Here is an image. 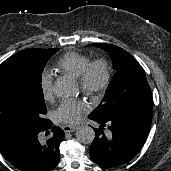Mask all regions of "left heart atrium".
<instances>
[{
	"mask_svg": "<svg viewBox=\"0 0 171 171\" xmlns=\"http://www.w3.org/2000/svg\"><path fill=\"white\" fill-rule=\"evenodd\" d=\"M88 105L81 100H64L54 111L53 117L56 122L75 124L79 122L88 111Z\"/></svg>",
	"mask_w": 171,
	"mask_h": 171,
	"instance_id": "left-heart-atrium-1",
	"label": "left heart atrium"
}]
</instances>
